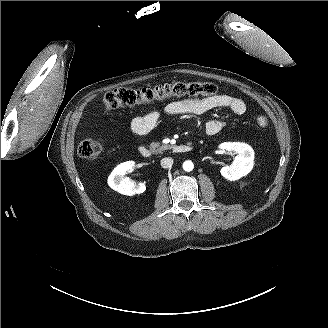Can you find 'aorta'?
I'll use <instances>...</instances> for the list:
<instances>
[{"mask_svg":"<svg viewBox=\"0 0 328 328\" xmlns=\"http://www.w3.org/2000/svg\"><path fill=\"white\" fill-rule=\"evenodd\" d=\"M194 168L193 162L190 160H187L183 163V169L187 172L192 171Z\"/></svg>","mask_w":328,"mask_h":328,"instance_id":"obj_1","label":"aorta"}]
</instances>
